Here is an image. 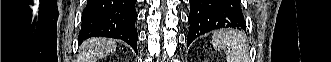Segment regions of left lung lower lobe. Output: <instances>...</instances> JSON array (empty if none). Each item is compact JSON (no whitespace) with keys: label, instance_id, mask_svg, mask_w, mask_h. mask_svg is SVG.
Masks as SVG:
<instances>
[{"label":"left lung lower lobe","instance_id":"left-lung-lower-lobe-1","mask_svg":"<svg viewBox=\"0 0 331 62\" xmlns=\"http://www.w3.org/2000/svg\"><path fill=\"white\" fill-rule=\"evenodd\" d=\"M190 29L188 46L198 36L219 28H236L246 31L240 0H189Z\"/></svg>","mask_w":331,"mask_h":62}]
</instances>
